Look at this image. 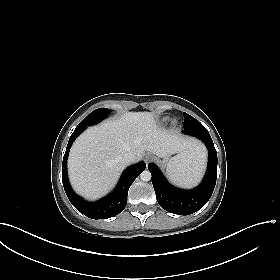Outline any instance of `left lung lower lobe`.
Instances as JSON below:
<instances>
[{"mask_svg":"<svg viewBox=\"0 0 280 280\" xmlns=\"http://www.w3.org/2000/svg\"><path fill=\"white\" fill-rule=\"evenodd\" d=\"M183 132L203 141L208 149V167L202 183L192 190L178 189L168 183L155 164H148V169L152 175V184L160 206L174 214L189 215L202 208L213 193L217 178V153L205 127Z\"/></svg>","mask_w":280,"mask_h":280,"instance_id":"left-lung-lower-lobe-1","label":"left lung lower lobe"}]
</instances>
